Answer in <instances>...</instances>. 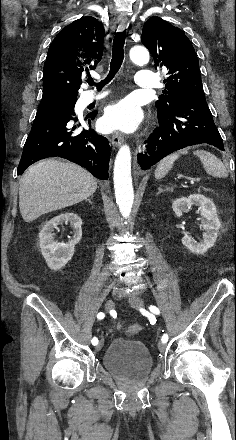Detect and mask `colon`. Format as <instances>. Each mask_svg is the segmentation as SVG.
Returning a JSON list of instances; mask_svg holds the SVG:
<instances>
[{
    "label": "colon",
    "mask_w": 236,
    "mask_h": 440,
    "mask_svg": "<svg viewBox=\"0 0 236 440\" xmlns=\"http://www.w3.org/2000/svg\"><path fill=\"white\" fill-rule=\"evenodd\" d=\"M143 327L140 324H130L124 328L127 335H136L142 331Z\"/></svg>",
    "instance_id": "colon-1"
}]
</instances>
